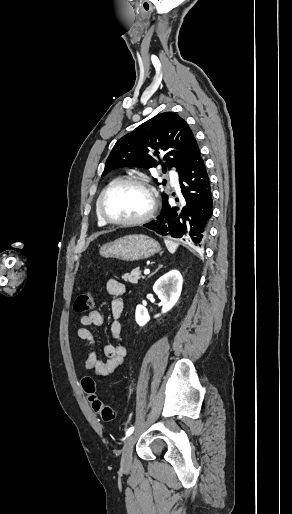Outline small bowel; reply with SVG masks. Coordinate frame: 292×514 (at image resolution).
<instances>
[{
    "instance_id": "c3829d8e",
    "label": "small bowel",
    "mask_w": 292,
    "mask_h": 514,
    "mask_svg": "<svg viewBox=\"0 0 292 514\" xmlns=\"http://www.w3.org/2000/svg\"><path fill=\"white\" fill-rule=\"evenodd\" d=\"M106 291L114 299L111 303V313L114 318L110 324V332L114 339V343L104 346L103 352L106 360L98 357L95 351L96 340L89 328L101 327L104 323L103 315L97 311L83 315L80 322L83 327L76 329V336L85 341L91 348L83 368L93 371L94 376L107 377L111 375L118 367L122 366L127 356V348L119 343L120 333L122 331V323L120 321L124 312V303L119 297L125 293V286L122 282L115 278L106 281Z\"/></svg>"
}]
</instances>
